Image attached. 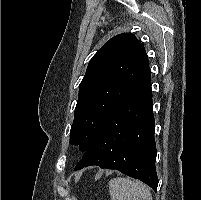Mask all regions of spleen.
Returning a JSON list of instances; mask_svg holds the SVG:
<instances>
[{
	"mask_svg": "<svg viewBox=\"0 0 201 200\" xmlns=\"http://www.w3.org/2000/svg\"><path fill=\"white\" fill-rule=\"evenodd\" d=\"M108 185L112 200H152L149 188L138 181L116 177Z\"/></svg>",
	"mask_w": 201,
	"mask_h": 200,
	"instance_id": "1",
	"label": "spleen"
}]
</instances>
